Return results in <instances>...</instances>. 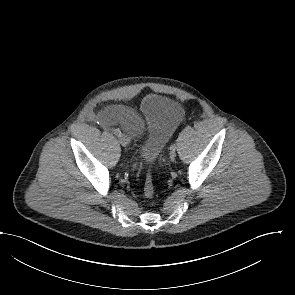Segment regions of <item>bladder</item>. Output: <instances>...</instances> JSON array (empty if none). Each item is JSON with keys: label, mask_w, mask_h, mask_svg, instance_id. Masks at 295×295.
Wrapping results in <instances>:
<instances>
[{"label": "bladder", "mask_w": 295, "mask_h": 295, "mask_svg": "<svg viewBox=\"0 0 295 295\" xmlns=\"http://www.w3.org/2000/svg\"><path fill=\"white\" fill-rule=\"evenodd\" d=\"M139 113L147 123L146 134L138 147L139 157L146 163H152L181 121L183 108L169 96L151 94L142 101Z\"/></svg>", "instance_id": "bladder-1"}]
</instances>
